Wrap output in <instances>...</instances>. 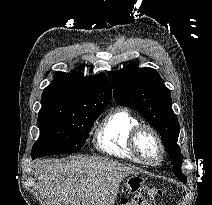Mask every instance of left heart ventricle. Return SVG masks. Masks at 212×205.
Wrapping results in <instances>:
<instances>
[{"label": "left heart ventricle", "mask_w": 212, "mask_h": 205, "mask_svg": "<svg viewBox=\"0 0 212 205\" xmlns=\"http://www.w3.org/2000/svg\"><path fill=\"white\" fill-rule=\"evenodd\" d=\"M141 146L143 151L150 157L155 158L158 155L157 148L152 140L145 136L141 139Z\"/></svg>", "instance_id": "1"}]
</instances>
